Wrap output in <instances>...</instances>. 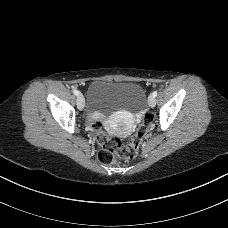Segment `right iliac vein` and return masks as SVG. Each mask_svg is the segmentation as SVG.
Returning a JSON list of instances; mask_svg holds the SVG:
<instances>
[{
	"mask_svg": "<svg viewBox=\"0 0 228 228\" xmlns=\"http://www.w3.org/2000/svg\"><path fill=\"white\" fill-rule=\"evenodd\" d=\"M77 106H78V109L79 110H83L84 109L85 99H84V96L82 94H79L78 95V98H77Z\"/></svg>",
	"mask_w": 228,
	"mask_h": 228,
	"instance_id": "1",
	"label": "right iliac vein"
}]
</instances>
